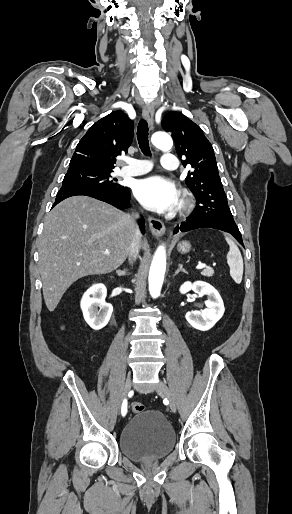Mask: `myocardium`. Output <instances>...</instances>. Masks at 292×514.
I'll list each match as a JSON object with an SVG mask.
<instances>
[{
	"label": "myocardium",
	"instance_id": "obj_1",
	"mask_svg": "<svg viewBox=\"0 0 292 514\" xmlns=\"http://www.w3.org/2000/svg\"><path fill=\"white\" fill-rule=\"evenodd\" d=\"M188 207V201L186 199H182L180 202V209L185 210Z\"/></svg>",
	"mask_w": 292,
	"mask_h": 514
}]
</instances>
